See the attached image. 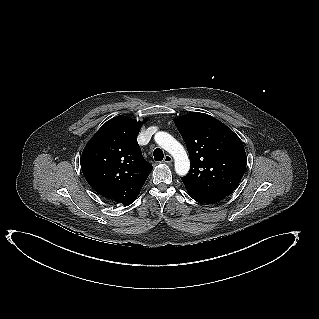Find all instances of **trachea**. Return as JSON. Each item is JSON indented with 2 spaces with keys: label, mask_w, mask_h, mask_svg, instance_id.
I'll list each match as a JSON object with an SVG mask.
<instances>
[{
  "label": "trachea",
  "mask_w": 319,
  "mask_h": 319,
  "mask_svg": "<svg viewBox=\"0 0 319 319\" xmlns=\"http://www.w3.org/2000/svg\"><path fill=\"white\" fill-rule=\"evenodd\" d=\"M153 155H154L155 161H161V160H163L164 154H163V151H162L160 148H156V149L154 150Z\"/></svg>",
  "instance_id": "obj_1"
}]
</instances>
